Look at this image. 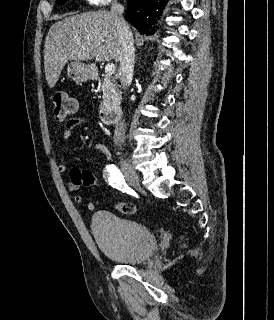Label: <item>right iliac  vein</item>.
I'll return each instance as SVG.
<instances>
[{"instance_id":"right-iliac-vein-1","label":"right iliac vein","mask_w":274,"mask_h":320,"mask_svg":"<svg viewBox=\"0 0 274 320\" xmlns=\"http://www.w3.org/2000/svg\"><path fill=\"white\" fill-rule=\"evenodd\" d=\"M121 170L126 178V180L134 187L140 189L139 176L136 171L131 167V165L126 161L122 160L120 162Z\"/></svg>"}]
</instances>
